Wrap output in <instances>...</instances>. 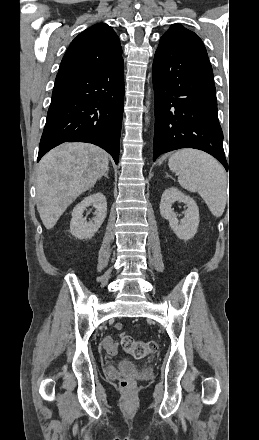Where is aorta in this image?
<instances>
[{
  "label": "aorta",
  "instance_id": "1",
  "mask_svg": "<svg viewBox=\"0 0 259 440\" xmlns=\"http://www.w3.org/2000/svg\"><path fill=\"white\" fill-rule=\"evenodd\" d=\"M149 94H150V91L148 92V95H149ZM147 105L149 106V102H148V101H147ZM148 121H149V118L146 117V118H145V122L148 123Z\"/></svg>",
  "mask_w": 259,
  "mask_h": 440
}]
</instances>
